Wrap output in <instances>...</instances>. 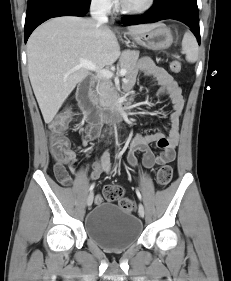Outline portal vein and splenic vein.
I'll return each mask as SVG.
<instances>
[{
	"label": "portal vein and splenic vein",
	"mask_w": 231,
	"mask_h": 281,
	"mask_svg": "<svg viewBox=\"0 0 231 281\" xmlns=\"http://www.w3.org/2000/svg\"><path fill=\"white\" fill-rule=\"evenodd\" d=\"M81 67L87 68V69L92 70V71H96L106 78H112L114 76L113 72H111L107 69L99 68V67H97L96 64H94L91 61H88L86 59L80 60V64H79L78 68H81ZM126 73H127L126 69H121L119 71L120 76H125Z\"/></svg>",
	"instance_id": "obj_1"
}]
</instances>
